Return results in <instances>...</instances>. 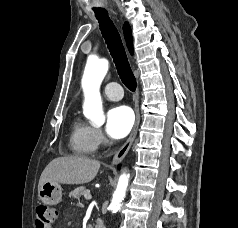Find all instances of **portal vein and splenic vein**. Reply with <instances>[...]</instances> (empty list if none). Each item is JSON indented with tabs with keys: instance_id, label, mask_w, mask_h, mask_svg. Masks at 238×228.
I'll list each match as a JSON object with an SVG mask.
<instances>
[{
	"instance_id": "18ae733b",
	"label": "portal vein and splenic vein",
	"mask_w": 238,
	"mask_h": 228,
	"mask_svg": "<svg viewBox=\"0 0 238 228\" xmlns=\"http://www.w3.org/2000/svg\"><path fill=\"white\" fill-rule=\"evenodd\" d=\"M85 199L89 200L92 198L90 191H88L85 195H84Z\"/></svg>"
}]
</instances>
